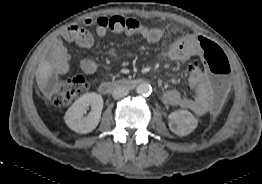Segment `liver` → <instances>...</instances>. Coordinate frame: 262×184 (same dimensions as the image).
<instances>
[{"mask_svg": "<svg viewBox=\"0 0 262 184\" xmlns=\"http://www.w3.org/2000/svg\"><path fill=\"white\" fill-rule=\"evenodd\" d=\"M54 68L53 65L47 61H42L36 71V81L40 91L46 94V89L50 79L53 76Z\"/></svg>", "mask_w": 262, "mask_h": 184, "instance_id": "1", "label": "liver"}]
</instances>
